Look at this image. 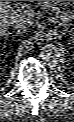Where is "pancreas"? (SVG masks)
Listing matches in <instances>:
<instances>
[{"label": "pancreas", "instance_id": "pancreas-1", "mask_svg": "<svg viewBox=\"0 0 74 122\" xmlns=\"http://www.w3.org/2000/svg\"><path fill=\"white\" fill-rule=\"evenodd\" d=\"M43 9H50L56 13V16L61 19L62 23L65 24L72 20V14L67 10H61L60 8L56 7V1H39L38 2Z\"/></svg>", "mask_w": 74, "mask_h": 122}]
</instances>
